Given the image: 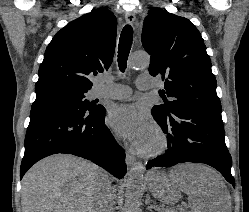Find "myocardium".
<instances>
[{
    "instance_id": "obj_1",
    "label": "myocardium",
    "mask_w": 249,
    "mask_h": 212,
    "mask_svg": "<svg viewBox=\"0 0 249 212\" xmlns=\"http://www.w3.org/2000/svg\"><path fill=\"white\" fill-rule=\"evenodd\" d=\"M149 128L156 134L157 143L152 148L142 149L140 153L145 157L159 156L168 149L169 138L166 134V131L157 122L150 123Z\"/></svg>"
}]
</instances>
